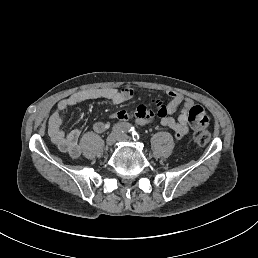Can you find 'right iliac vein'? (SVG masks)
<instances>
[{"label": "right iliac vein", "mask_w": 258, "mask_h": 258, "mask_svg": "<svg viewBox=\"0 0 258 258\" xmlns=\"http://www.w3.org/2000/svg\"><path fill=\"white\" fill-rule=\"evenodd\" d=\"M120 134L117 131L112 132V134L108 135L106 138V143L109 146H112L116 143L117 140H119Z\"/></svg>", "instance_id": "right-iliac-vein-1"}]
</instances>
